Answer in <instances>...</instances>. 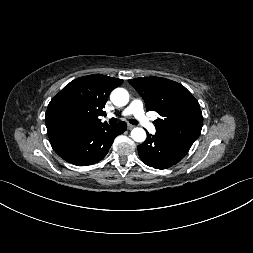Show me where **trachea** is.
Masks as SVG:
<instances>
[{
    "instance_id": "3493384b",
    "label": "trachea",
    "mask_w": 253,
    "mask_h": 253,
    "mask_svg": "<svg viewBox=\"0 0 253 253\" xmlns=\"http://www.w3.org/2000/svg\"><path fill=\"white\" fill-rule=\"evenodd\" d=\"M117 122H118L117 118H111V119L109 120V123H110L111 125H114V124H116ZM129 122H130L132 125H138V121L135 120V119H130Z\"/></svg>"
}]
</instances>
